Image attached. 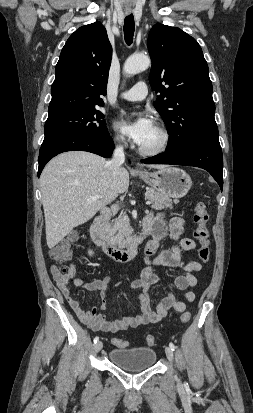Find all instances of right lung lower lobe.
<instances>
[{
	"mask_svg": "<svg viewBox=\"0 0 253 413\" xmlns=\"http://www.w3.org/2000/svg\"><path fill=\"white\" fill-rule=\"evenodd\" d=\"M113 149V140L108 132L103 135L89 138L66 137L43 142L39 152L38 177L46 163L59 153L82 150L108 158L111 156Z\"/></svg>",
	"mask_w": 253,
	"mask_h": 413,
	"instance_id": "obj_1",
	"label": "right lung lower lobe"
}]
</instances>
